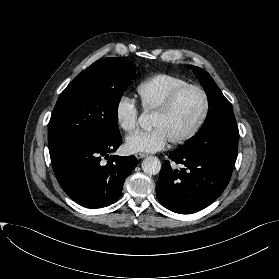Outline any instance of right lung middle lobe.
Wrapping results in <instances>:
<instances>
[{
  "label": "right lung middle lobe",
  "instance_id": "obj_1",
  "mask_svg": "<svg viewBox=\"0 0 279 279\" xmlns=\"http://www.w3.org/2000/svg\"><path fill=\"white\" fill-rule=\"evenodd\" d=\"M135 68L123 58H104L82 71L64 89L50 119V154L120 134L118 105L135 76Z\"/></svg>",
  "mask_w": 279,
  "mask_h": 279
}]
</instances>
